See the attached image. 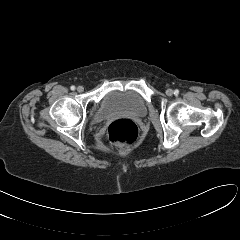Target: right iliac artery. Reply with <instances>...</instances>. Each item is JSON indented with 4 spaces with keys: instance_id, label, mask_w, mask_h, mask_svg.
<instances>
[{
    "instance_id": "1",
    "label": "right iliac artery",
    "mask_w": 240,
    "mask_h": 240,
    "mask_svg": "<svg viewBox=\"0 0 240 240\" xmlns=\"http://www.w3.org/2000/svg\"><path fill=\"white\" fill-rule=\"evenodd\" d=\"M70 89H71V90H75V86L72 85V86L70 87Z\"/></svg>"
}]
</instances>
